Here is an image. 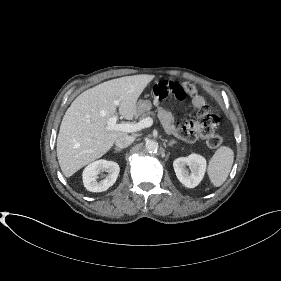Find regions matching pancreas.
I'll list each match as a JSON object with an SVG mask.
<instances>
[{"label":"pancreas","instance_id":"pancreas-1","mask_svg":"<svg viewBox=\"0 0 281 281\" xmlns=\"http://www.w3.org/2000/svg\"><path fill=\"white\" fill-rule=\"evenodd\" d=\"M154 115H155L154 112L148 111V112H146V113H143V114L139 117V120H143V119L146 118V117H150V116H154Z\"/></svg>","mask_w":281,"mask_h":281}]
</instances>
